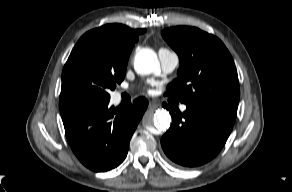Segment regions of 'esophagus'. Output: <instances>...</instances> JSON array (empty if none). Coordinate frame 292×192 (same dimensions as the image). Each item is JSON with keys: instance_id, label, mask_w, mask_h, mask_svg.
Wrapping results in <instances>:
<instances>
[{"instance_id": "1", "label": "esophagus", "mask_w": 292, "mask_h": 192, "mask_svg": "<svg viewBox=\"0 0 292 192\" xmlns=\"http://www.w3.org/2000/svg\"><path fill=\"white\" fill-rule=\"evenodd\" d=\"M158 107H159V103L158 102H156V101H150L149 102V108L150 109H156Z\"/></svg>"}]
</instances>
